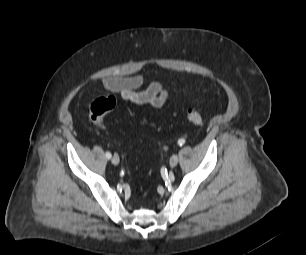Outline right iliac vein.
Returning a JSON list of instances; mask_svg holds the SVG:
<instances>
[{
  "mask_svg": "<svg viewBox=\"0 0 306 255\" xmlns=\"http://www.w3.org/2000/svg\"><path fill=\"white\" fill-rule=\"evenodd\" d=\"M111 161H112V163H113L114 165H118L119 162H120L119 156L116 155V154H114L113 157H112V159H111Z\"/></svg>",
  "mask_w": 306,
  "mask_h": 255,
  "instance_id": "right-iliac-vein-1",
  "label": "right iliac vein"
}]
</instances>
